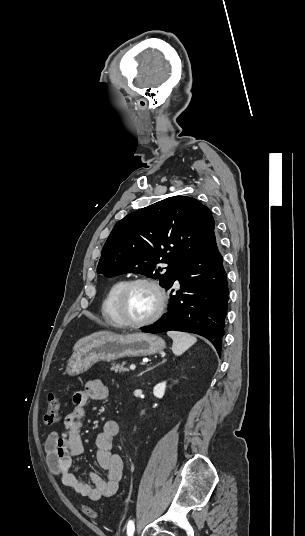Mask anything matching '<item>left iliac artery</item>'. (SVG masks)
Wrapping results in <instances>:
<instances>
[{"label": "left iliac artery", "mask_w": 305, "mask_h": 536, "mask_svg": "<svg viewBox=\"0 0 305 536\" xmlns=\"http://www.w3.org/2000/svg\"><path fill=\"white\" fill-rule=\"evenodd\" d=\"M134 530H135L134 522L130 520L127 524V535L133 536Z\"/></svg>", "instance_id": "obj_1"}]
</instances>
